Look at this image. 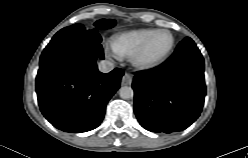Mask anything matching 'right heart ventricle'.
<instances>
[{
    "mask_svg": "<svg viewBox=\"0 0 248 158\" xmlns=\"http://www.w3.org/2000/svg\"><path fill=\"white\" fill-rule=\"evenodd\" d=\"M153 31V29H137L119 33L111 40L112 48L120 56L132 57Z\"/></svg>",
    "mask_w": 248,
    "mask_h": 158,
    "instance_id": "e07e8e85",
    "label": "right heart ventricle"
}]
</instances>
